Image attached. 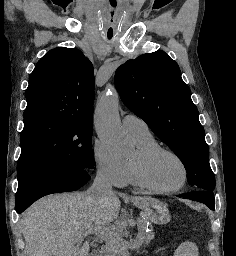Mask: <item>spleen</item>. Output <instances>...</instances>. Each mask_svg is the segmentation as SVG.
Masks as SVG:
<instances>
[{
  "mask_svg": "<svg viewBox=\"0 0 236 256\" xmlns=\"http://www.w3.org/2000/svg\"><path fill=\"white\" fill-rule=\"evenodd\" d=\"M175 256H199V250L193 242H183L177 248Z\"/></svg>",
  "mask_w": 236,
  "mask_h": 256,
  "instance_id": "3e777b00",
  "label": "spleen"
}]
</instances>
